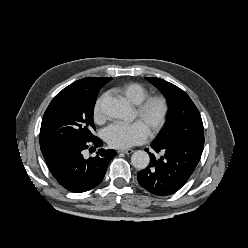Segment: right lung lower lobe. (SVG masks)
<instances>
[{"label":"right lung lower lobe","mask_w":248,"mask_h":248,"mask_svg":"<svg viewBox=\"0 0 248 248\" xmlns=\"http://www.w3.org/2000/svg\"><path fill=\"white\" fill-rule=\"evenodd\" d=\"M101 147L102 140H73L62 143L43 153L48 168L58 183L73 193L96 187L103 180L107 166L116 155L115 150L100 149L95 157L85 159L88 147Z\"/></svg>","instance_id":"1"}]
</instances>
